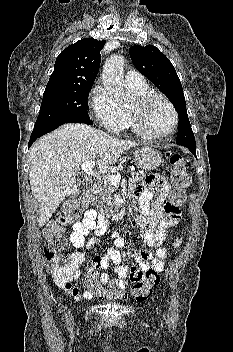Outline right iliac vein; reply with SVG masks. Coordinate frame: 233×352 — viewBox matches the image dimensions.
<instances>
[{
    "mask_svg": "<svg viewBox=\"0 0 233 352\" xmlns=\"http://www.w3.org/2000/svg\"><path fill=\"white\" fill-rule=\"evenodd\" d=\"M72 322H73L72 315H71V312L69 311L67 314V323H68V325H71Z\"/></svg>",
    "mask_w": 233,
    "mask_h": 352,
    "instance_id": "obj_1",
    "label": "right iliac vein"
}]
</instances>
